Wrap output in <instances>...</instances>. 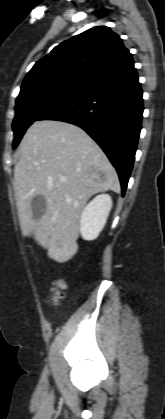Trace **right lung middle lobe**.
<instances>
[{
    "label": "right lung middle lobe",
    "instance_id": "1",
    "mask_svg": "<svg viewBox=\"0 0 165 419\" xmlns=\"http://www.w3.org/2000/svg\"><path fill=\"white\" fill-rule=\"evenodd\" d=\"M88 92L69 87H49L26 93L16 100L13 120L14 141L16 148L27 128L43 115L66 103L75 101Z\"/></svg>",
    "mask_w": 165,
    "mask_h": 419
}]
</instances>
